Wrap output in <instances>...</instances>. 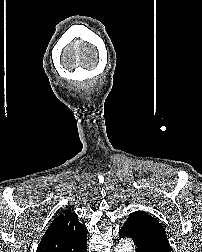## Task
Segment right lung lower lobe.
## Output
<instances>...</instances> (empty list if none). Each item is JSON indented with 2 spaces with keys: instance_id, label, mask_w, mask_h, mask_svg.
<instances>
[{
  "instance_id": "right-lung-lower-lobe-1",
  "label": "right lung lower lobe",
  "mask_w": 202,
  "mask_h": 252,
  "mask_svg": "<svg viewBox=\"0 0 202 252\" xmlns=\"http://www.w3.org/2000/svg\"><path fill=\"white\" fill-rule=\"evenodd\" d=\"M84 252H87V245H86V248H85Z\"/></svg>"
}]
</instances>
